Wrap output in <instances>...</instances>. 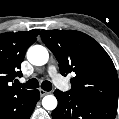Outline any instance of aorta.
I'll use <instances>...</instances> for the list:
<instances>
[{
  "label": "aorta",
  "instance_id": "aorta-1",
  "mask_svg": "<svg viewBox=\"0 0 119 119\" xmlns=\"http://www.w3.org/2000/svg\"><path fill=\"white\" fill-rule=\"evenodd\" d=\"M27 59L36 66H42L48 62L49 53L44 46L34 45L27 51ZM42 106L46 110H54L57 107V99L53 95H47L42 99Z\"/></svg>",
  "mask_w": 119,
  "mask_h": 119
}]
</instances>
